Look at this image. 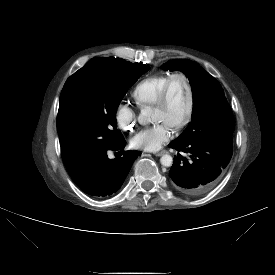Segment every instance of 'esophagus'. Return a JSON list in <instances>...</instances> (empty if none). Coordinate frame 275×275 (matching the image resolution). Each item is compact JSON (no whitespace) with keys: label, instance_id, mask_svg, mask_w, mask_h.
<instances>
[{"label":"esophagus","instance_id":"34e87169","mask_svg":"<svg viewBox=\"0 0 275 275\" xmlns=\"http://www.w3.org/2000/svg\"><path fill=\"white\" fill-rule=\"evenodd\" d=\"M164 153H166L165 150L157 152V153H154V155L159 157V156H162Z\"/></svg>","mask_w":275,"mask_h":275}]
</instances>
